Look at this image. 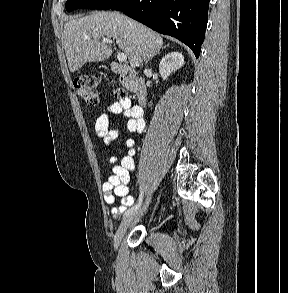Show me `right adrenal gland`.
Instances as JSON below:
<instances>
[{
  "label": "right adrenal gland",
  "mask_w": 288,
  "mask_h": 293,
  "mask_svg": "<svg viewBox=\"0 0 288 293\" xmlns=\"http://www.w3.org/2000/svg\"><path fill=\"white\" fill-rule=\"evenodd\" d=\"M151 60H152V57L146 61V64H148V62H150Z\"/></svg>",
  "instance_id": "2a0ac1e0"
}]
</instances>
